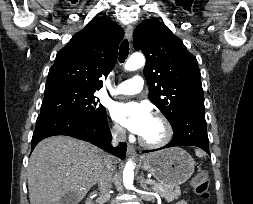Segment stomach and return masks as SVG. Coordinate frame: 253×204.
<instances>
[{
  "label": "stomach",
  "instance_id": "0dacf381",
  "mask_svg": "<svg viewBox=\"0 0 253 204\" xmlns=\"http://www.w3.org/2000/svg\"><path fill=\"white\" fill-rule=\"evenodd\" d=\"M138 161L140 166L151 173L159 184L168 188H177L186 182L195 168L193 158L179 147L142 155Z\"/></svg>",
  "mask_w": 253,
  "mask_h": 204
}]
</instances>
